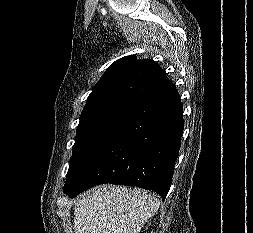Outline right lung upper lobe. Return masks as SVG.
I'll return each instance as SVG.
<instances>
[{
  "label": "right lung upper lobe",
  "mask_w": 253,
  "mask_h": 233,
  "mask_svg": "<svg viewBox=\"0 0 253 233\" xmlns=\"http://www.w3.org/2000/svg\"><path fill=\"white\" fill-rule=\"evenodd\" d=\"M166 81V74L154 61L126 56L106 70L89 95L86 106L112 99L136 102Z\"/></svg>",
  "instance_id": "right-lung-upper-lobe-1"
}]
</instances>
